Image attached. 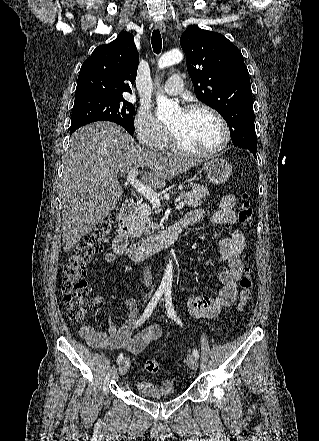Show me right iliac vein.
I'll return each mask as SVG.
<instances>
[{
	"instance_id": "63e3f726",
	"label": "right iliac vein",
	"mask_w": 319,
	"mask_h": 441,
	"mask_svg": "<svg viewBox=\"0 0 319 441\" xmlns=\"http://www.w3.org/2000/svg\"><path fill=\"white\" fill-rule=\"evenodd\" d=\"M130 367V358H125L119 365V374L125 375Z\"/></svg>"
}]
</instances>
